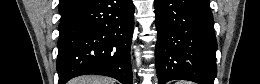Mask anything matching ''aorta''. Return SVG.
<instances>
[{
	"label": "aorta",
	"instance_id": "762f6f07",
	"mask_svg": "<svg viewBox=\"0 0 260 84\" xmlns=\"http://www.w3.org/2000/svg\"><path fill=\"white\" fill-rule=\"evenodd\" d=\"M136 56H137V58H136L137 64L139 65L140 64V58H139V53L138 52H136Z\"/></svg>",
	"mask_w": 260,
	"mask_h": 84
}]
</instances>
